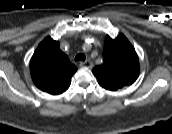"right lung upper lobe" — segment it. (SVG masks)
<instances>
[{
	"label": "right lung upper lobe",
	"instance_id": "right-lung-upper-lobe-1",
	"mask_svg": "<svg viewBox=\"0 0 172 134\" xmlns=\"http://www.w3.org/2000/svg\"><path fill=\"white\" fill-rule=\"evenodd\" d=\"M76 71V66L60 50L59 42L49 36L38 45L30 61V73L36 87L53 95L69 88Z\"/></svg>",
	"mask_w": 172,
	"mask_h": 134
}]
</instances>
